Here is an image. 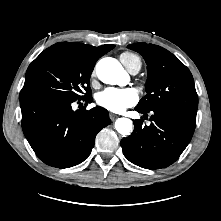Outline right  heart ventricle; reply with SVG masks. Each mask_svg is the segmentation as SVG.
Here are the masks:
<instances>
[{
  "label": "right heart ventricle",
  "instance_id": "e07e8e85",
  "mask_svg": "<svg viewBox=\"0 0 221 221\" xmlns=\"http://www.w3.org/2000/svg\"><path fill=\"white\" fill-rule=\"evenodd\" d=\"M120 60L126 66L127 69H129L134 63L138 62L141 64L140 58L136 54L131 52L121 53Z\"/></svg>",
  "mask_w": 221,
  "mask_h": 221
}]
</instances>
